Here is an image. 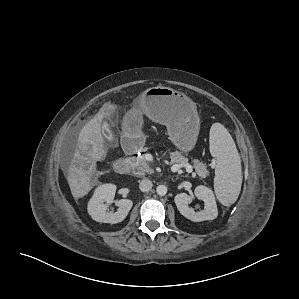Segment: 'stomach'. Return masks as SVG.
<instances>
[{"label": "stomach", "instance_id": "obj_1", "mask_svg": "<svg viewBox=\"0 0 299 299\" xmlns=\"http://www.w3.org/2000/svg\"><path fill=\"white\" fill-rule=\"evenodd\" d=\"M143 115L167 127L169 139L182 152H190L200 130V118L195 103L183 92L156 86L143 91L124 117L125 126L137 132Z\"/></svg>", "mask_w": 299, "mask_h": 299}]
</instances>
